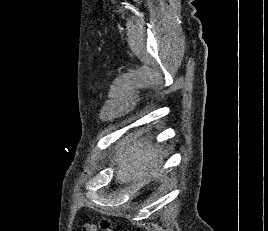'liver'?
<instances>
[{"label":"liver","mask_w":268,"mask_h":231,"mask_svg":"<svg viewBox=\"0 0 268 231\" xmlns=\"http://www.w3.org/2000/svg\"><path fill=\"white\" fill-rule=\"evenodd\" d=\"M112 163L116 165L115 180L120 184L145 182L163 173L161 148L154 145L151 138H143L141 132L117 142Z\"/></svg>","instance_id":"6515ba94"}]
</instances>
